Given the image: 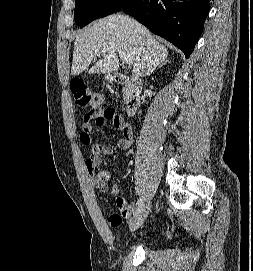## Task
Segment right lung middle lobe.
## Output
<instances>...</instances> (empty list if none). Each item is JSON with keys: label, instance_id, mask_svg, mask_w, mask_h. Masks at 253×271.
Masks as SVG:
<instances>
[{"label": "right lung middle lobe", "instance_id": "1", "mask_svg": "<svg viewBox=\"0 0 253 271\" xmlns=\"http://www.w3.org/2000/svg\"><path fill=\"white\" fill-rule=\"evenodd\" d=\"M127 0H76L74 17L81 28L91 21L116 13Z\"/></svg>", "mask_w": 253, "mask_h": 271}]
</instances>
